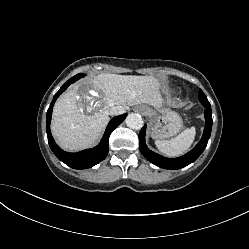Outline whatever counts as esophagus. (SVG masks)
Listing matches in <instances>:
<instances>
[{
	"label": "esophagus",
	"mask_w": 249,
	"mask_h": 249,
	"mask_svg": "<svg viewBox=\"0 0 249 249\" xmlns=\"http://www.w3.org/2000/svg\"><path fill=\"white\" fill-rule=\"evenodd\" d=\"M136 112L141 113V114H145V113H146V112H145V108L142 107V106L137 107V108H136Z\"/></svg>",
	"instance_id": "obj_1"
}]
</instances>
